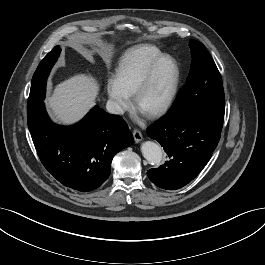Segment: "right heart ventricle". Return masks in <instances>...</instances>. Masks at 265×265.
<instances>
[{
	"label": "right heart ventricle",
	"instance_id": "obj_1",
	"mask_svg": "<svg viewBox=\"0 0 265 265\" xmlns=\"http://www.w3.org/2000/svg\"><path fill=\"white\" fill-rule=\"evenodd\" d=\"M161 55V50L151 44L131 48L118 63L113 76L115 84L127 96H131L150 64Z\"/></svg>",
	"mask_w": 265,
	"mask_h": 265
}]
</instances>
